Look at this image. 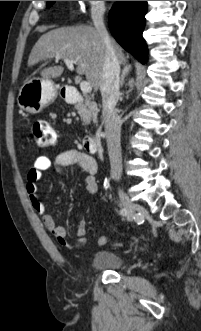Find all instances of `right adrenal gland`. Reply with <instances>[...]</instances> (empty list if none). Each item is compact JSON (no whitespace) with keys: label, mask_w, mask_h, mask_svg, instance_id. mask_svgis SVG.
Wrapping results in <instances>:
<instances>
[{"label":"right adrenal gland","mask_w":201,"mask_h":331,"mask_svg":"<svg viewBox=\"0 0 201 331\" xmlns=\"http://www.w3.org/2000/svg\"><path fill=\"white\" fill-rule=\"evenodd\" d=\"M128 70L126 68L123 69L122 74H121V80H120V85L123 87L124 82H125V77L128 75Z\"/></svg>","instance_id":"obj_1"}]
</instances>
